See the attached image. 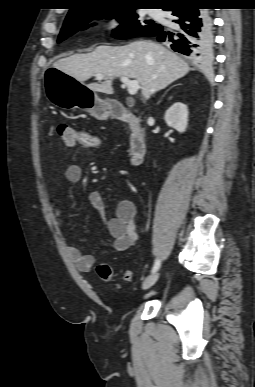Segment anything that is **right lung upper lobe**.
<instances>
[{"mask_svg":"<svg viewBox=\"0 0 255 387\" xmlns=\"http://www.w3.org/2000/svg\"><path fill=\"white\" fill-rule=\"evenodd\" d=\"M140 1H150V0H76L75 6L70 9L65 20H73L85 13L95 11V10H108V9H114L118 7H133L141 4H154L152 2L150 3V2H140ZM153 1H157L155 2V4H159L167 8L178 2L188 1V0H153Z\"/></svg>","mask_w":255,"mask_h":387,"instance_id":"right-lung-upper-lobe-1","label":"right lung upper lobe"}]
</instances>
